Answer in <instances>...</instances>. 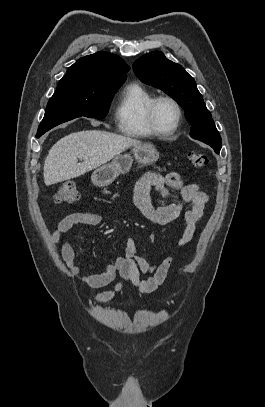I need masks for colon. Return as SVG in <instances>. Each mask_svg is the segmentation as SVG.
Returning <instances> with one entry per match:
<instances>
[{"label":"colon","instance_id":"obj_1","mask_svg":"<svg viewBox=\"0 0 265 407\" xmlns=\"http://www.w3.org/2000/svg\"><path fill=\"white\" fill-rule=\"evenodd\" d=\"M188 159L191 164L197 168H205L209 164V157L207 154L195 150H190L187 153ZM80 193L75 184L71 182L63 183L53 196L55 203L71 204L78 201Z\"/></svg>","mask_w":265,"mask_h":407}]
</instances>
